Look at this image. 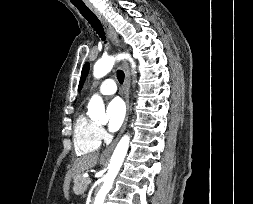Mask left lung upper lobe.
Returning <instances> with one entry per match:
<instances>
[{
  "label": "left lung upper lobe",
  "instance_id": "1",
  "mask_svg": "<svg viewBox=\"0 0 253 204\" xmlns=\"http://www.w3.org/2000/svg\"><path fill=\"white\" fill-rule=\"evenodd\" d=\"M89 63L87 62L84 66H83V69H82V74H81V79H80V82H79V90L82 88L83 86V83L85 81V78L87 76V73H88V70H89Z\"/></svg>",
  "mask_w": 253,
  "mask_h": 204
}]
</instances>
